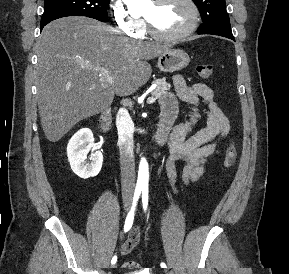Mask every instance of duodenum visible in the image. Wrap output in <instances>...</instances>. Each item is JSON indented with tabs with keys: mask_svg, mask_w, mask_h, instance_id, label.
Masks as SVG:
<instances>
[{
	"mask_svg": "<svg viewBox=\"0 0 289 274\" xmlns=\"http://www.w3.org/2000/svg\"><path fill=\"white\" fill-rule=\"evenodd\" d=\"M176 113L174 111L164 112L161 114L160 122L156 134L153 136L151 142L156 147L163 146L171 132L172 125L175 119ZM111 112L110 109H105L99 120V126L102 132H107L110 126Z\"/></svg>",
	"mask_w": 289,
	"mask_h": 274,
	"instance_id": "duodenum-1",
	"label": "duodenum"
}]
</instances>
